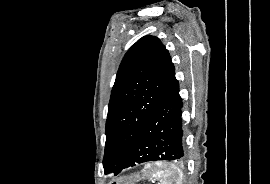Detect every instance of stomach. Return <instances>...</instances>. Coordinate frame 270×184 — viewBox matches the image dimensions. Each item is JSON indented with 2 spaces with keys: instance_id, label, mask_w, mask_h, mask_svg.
I'll list each match as a JSON object with an SVG mask.
<instances>
[{
  "instance_id": "0dacf381",
  "label": "stomach",
  "mask_w": 270,
  "mask_h": 184,
  "mask_svg": "<svg viewBox=\"0 0 270 184\" xmlns=\"http://www.w3.org/2000/svg\"><path fill=\"white\" fill-rule=\"evenodd\" d=\"M140 180L139 175H133L130 177H122L119 179H115L111 182V184H136Z\"/></svg>"
}]
</instances>
